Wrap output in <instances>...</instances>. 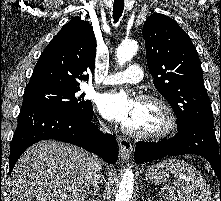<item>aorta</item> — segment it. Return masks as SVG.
Returning <instances> with one entry per match:
<instances>
[{"instance_id":"1","label":"aorta","mask_w":221,"mask_h":201,"mask_svg":"<svg viewBox=\"0 0 221 201\" xmlns=\"http://www.w3.org/2000/svg\"><path fill=\"white\" fill-rule=\"evenodd\" d=\"M138 43L135 40L124 41L116 51L119 65H124L137 52ZM134 189V174L130 168L125 170L119 185L115 201H130Z\"/></svg>"}]
</instances>
